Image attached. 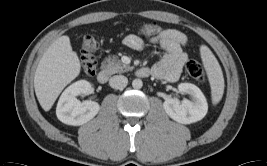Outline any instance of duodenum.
<instances>
[{
	"mask_svg": "<svg viewBox=\"0 0 267 166\" xmlns=\"http://www.w3.org/2000/svg\"><path fill=\"white\" fill-rule=\"evenodd\" d=\"M136 75L138 77H146L149 75V70L147 68H139L136 70ZM109 74L106 70H100L97 74V80L101 84H105L108 82Z\"/></svg>",
	"mask_w": 267,
	"mask_h": 166,
	"instance_id": "obj_1",
	"label": "duodenum"
}]
</instances>
